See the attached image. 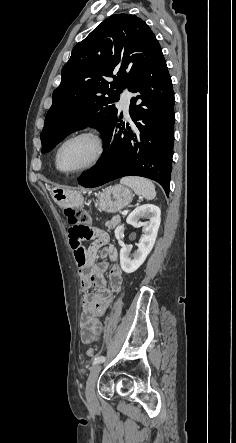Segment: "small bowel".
Segmentation results:
<instances>
[{
  "label": "small bowel",
  "instance_id": "c3829d8e",
  "mask_svg": "<svg viewBox=\"0 0 236 443\" xmlns=\"http://www.w3.org/2000/svg\"><path fill=\"white\" fill-rule=\"evenodd\" d=\"M93 242L84 249V240L74 238L70 235V245L74 250L75 261L79 270L80 285L86 291L83 297L80 336L83 343H92L99 336L102 329V318L105 315L113 299L114 292L118 291L123 284L122 269L117 263L118 250L113 245H108V235L100 230L94 229ZM108 258L112 263H96L97 255ZM108 269V277L104 278V271ZM95 285L98 290L94 293L88 292Z\"/></svg>",
  "mask_w": 236,
  "mask_h": 443
}]
</instances>
